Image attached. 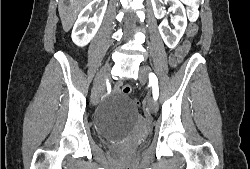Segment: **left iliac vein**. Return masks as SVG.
Instances as JSON below:
<instances>
[{"label": "left iliac vein", "instance_id": "1", "mask_svg": "<svg viewBox=\"0 0 250 169\" xmlns=\"http://www.w3.org/2000/svg\"><path fill=\"white\" fill-rule=\"evenodd\" d=\"M149 72L150 68L148 66H142L140 68L139 80L142 84L146 83ZM146 106L152 113L157 111V102L154 100V98H148L146 101Z\"/></svg>", "mask_w": 250, "mask_h": 169}]
</instances>
